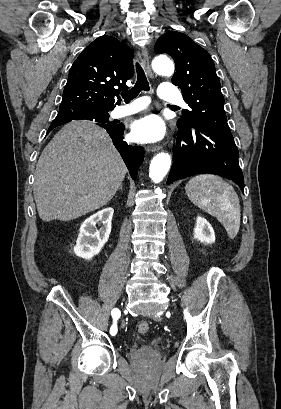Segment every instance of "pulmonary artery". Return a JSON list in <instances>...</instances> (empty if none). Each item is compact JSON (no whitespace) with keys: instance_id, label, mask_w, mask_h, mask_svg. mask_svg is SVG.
<instances>
[{"instance_id":"obj_1","label":"pulmonary artery","mask_w":281,"mask_h":409,"mask_svg":"<svg viewBox=\"0 0 281 409\" xmlns=\"http://www.w3.org/2000/svg\"><path fill=\"white\" fill-rule=\"evenodd\" d=\"M159 93L161 94L165 103H180L182 101V96L179 94L177 82L176 81H164L162 86L159 88ZM141 101L143 103H148L150 101V96L148 94H143L141 96ZM147 105H142L139 107L137 102H126L124 108L117 107L111 112V117L115 119L125 118L140 109L145 108Z\"/></svg>"}]
</instances>
